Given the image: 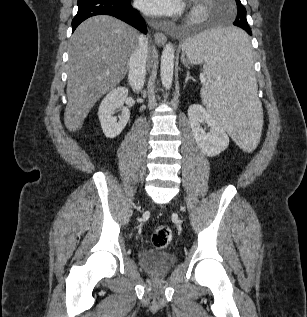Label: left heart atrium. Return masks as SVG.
Masks as SVG:
<instances>
[{
    "instance_id": "1",
    "label": "left heart atrium",
    "mask_w": 307,
    "mask_h": 317,
    "mask_svg": "<svg viewBox=\"0 0 307 317\" xmlns=\"http://www.w3.org/2000/svg\"><path fill=\"white\" fill-rule=\"evenodd\" d=\"M182 0H137V6L143 12L155 16H168L183 9Z\"/></svg>"
}]
</instances>
